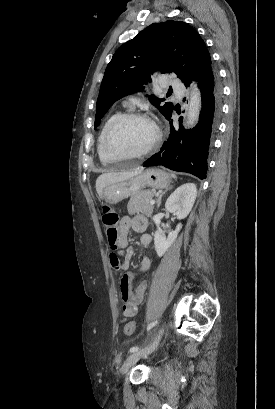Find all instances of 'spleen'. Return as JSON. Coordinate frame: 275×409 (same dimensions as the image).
<instances>
[{"label": "spleen", "mask_w": 275, "mask_h": 409, "mask_svg": "<svg viewBox=\"0 0 275 409\" xmlns=\"http://www.w3.org/2000/svg\"><path fill=\"white\" fill-rule=\"evenodd\" d=\"M171 176H173V178H176L175 174H171Z\"/></svg>", "instance_id": "3e777b00"}]
</instances>
